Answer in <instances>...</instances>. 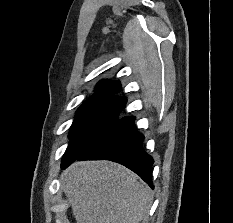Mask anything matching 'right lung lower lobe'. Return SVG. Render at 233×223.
Here are the masks:
<instances>
[{"mask_svg":"<svg viewBox=\"0 0 233 223\" xmlns=\"http://www.w3.org/2000/svg\"><path fill=\"white\" fill-rule=\"evenodd\" d=\"M134 117L117 120L113 126L80 155H64L62 168L75 160H111L138 174L152 188L153 159L142 148L144 137L134 127Z\"/></svg>","mask_w":233,"mask_h":223,"instance_id":"1","label":"right lung lower lobe"}]
</instances>
